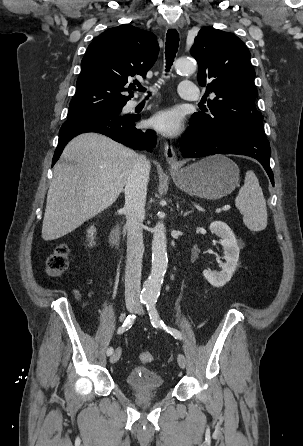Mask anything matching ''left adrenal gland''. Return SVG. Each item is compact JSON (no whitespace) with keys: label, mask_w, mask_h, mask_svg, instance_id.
Listing matches in <instances>:
<instances>
[{"label":"left adrenal gland","mask_w":303,"mask_h":446,"mask_svg":"<svg viewBox=\"0 0 303 446\" xmlns=\"http://www.w3.org/2000/svg\"><path fill=\"white\" fill-rule=\"evenodd\" d=\"M192 212V210H187L186 212H184V214H183V216L184 217H186L188 214H190ZM183 212L181 211V214H182Z\"/></svg>","instance_id":"left-adrenal-gland-1"}]
</instances>
